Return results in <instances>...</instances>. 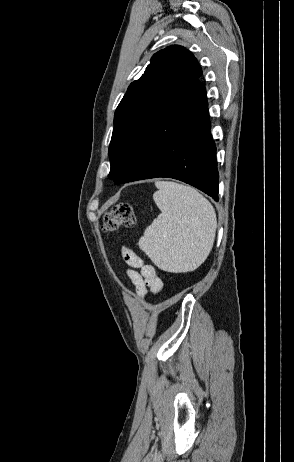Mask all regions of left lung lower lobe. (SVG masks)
Returning <instances> with one entry per match:
<instances>
[{
	"label": "left lung lower lobe",
	"instance_id": "1",
	"mask_svg": "<svg viewBox=\"0 0 294 462\" xmlns=\"http://www.w3.org/2000/svg\"><path fill=\"white\" fill-rule=\"evenodd\" d=\"M215 155L206 91L197 80L188 83L174 101L155 109L113 178L114 183L169 177L218 201Z\"/></svg>",
	"mask_w": 294,
	"mask_h": 462
}]
</instances>
